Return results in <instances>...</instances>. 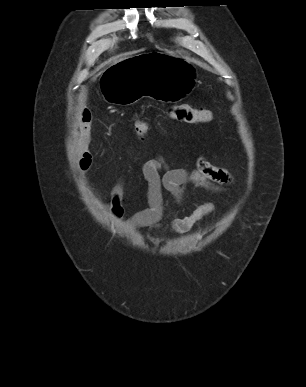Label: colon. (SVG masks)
<instances>
[{
  "label": "colon",
  "mask_w": 306,
  "mask_h": 387,
  "mask_svg": "<svg viewBox=\"0 0 306 387\" xmlns=\"http://www.w3.org/2000/svg\"><path fill=\"white\" fill-rule=\"evenodd\" d=\"M170 116L178 121L204 124L212 120V113L208 109L202 107H194L190 105H177L170 109ZM149 130V123L140 114L135 116L134 131L139 140H144Z\"/></svg>",
  "instance_id": "colon-1"
}]
</instances>
